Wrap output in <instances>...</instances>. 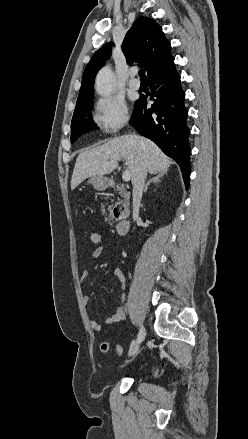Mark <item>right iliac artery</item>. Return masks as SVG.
Returning a JSON list of instances; mask_svg holds the SVG:
<instances>
[{
	"instance_id": "82829eb1",
	"label": "right iliac artery",
	"mask_w": 248,
	"mask_h": 439,
	"mask_svg": "<svg viewBox=\"0 0 248 439\" xmlns=\"http://www.w3.org/2000/svg\"><path fill=\"white\" fill-rule=\"evenodd\" d=\"M146 334H147L146 327L144 325H140L139 331H138V336L142 342L145 340Z\"/></svg>"
}]
</instances>
